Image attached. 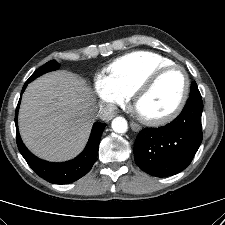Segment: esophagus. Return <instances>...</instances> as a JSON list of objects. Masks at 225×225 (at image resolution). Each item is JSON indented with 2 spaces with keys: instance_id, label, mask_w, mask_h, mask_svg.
Listing matches in <instances>:
<instances>
[{
  "instance_id": "34e87169",
  "label": "esophagus",
  "mask_w": 225,
  "mask_h": 225,
  "mask_svg": "<svg viewBox=\"0 0 225 225\" xmlns=\"http://www.w3.org/2000/svg\"><path fill=\"white\" fill-rule=\"evenodd\" d=\"M130 126H131V129H132L133 131H135V132H138V131L141 130V127H140L137 123H135V122H131V123H130Z\"/></svg>"
}]
</instances>
